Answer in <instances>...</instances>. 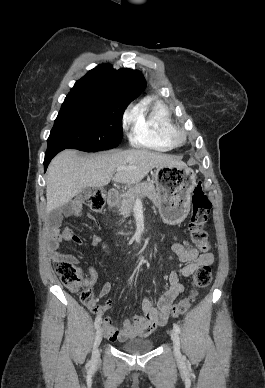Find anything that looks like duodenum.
I'll use <instances>...</instances> for the list:
<instances>
[{
	"instance_id": "obj_1",
	"label": "duodenum",
	"mask_w": 265,
	"mask_h": 388,
	"mask_svg": "<svg viewBox=\"0 0 265 388\" xmlns=\"http://www.w3.org/2000/svg\"><path fill=\"white\" fill-rule=\"evenodd\" d=\"M120 193L116 189H111L108 193V204L109 206H115L118 204L120 200Z\"/></svg>"
}]
</instances>
